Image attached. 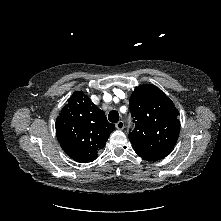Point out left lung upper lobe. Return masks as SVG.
Masks as SVG:
<instances>
[{"mask_svg":"<svg viewBox=\"0 0 221 221\" xmlns=\"http://www.w3.org/2000/svg\"><path fill=\"white\" fill-rule=\"evenodd\" d=\"M135 129L129 133L134 151L148 161L166 157L174 148L180 121L174 103L158 87H137L129 100Z\"/></svg>","mask_w":221,"mask_h":221,"instance_id":"5c2ea615","label":"left lung upper lobe"}]
</instances>
